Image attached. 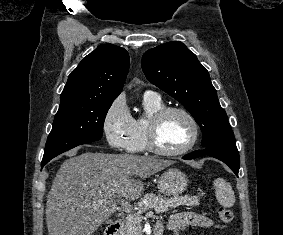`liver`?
<instances>
[{
  "label": "liver",
  "mask_w": 283,
  "mask_h": 235,
  "mask_svg": "<svg viewBox=\"0 0 283 235\" xmlns=\"http://www.w3.org/2000/svg\"><path fill=\"white\" fill-rule=\"evenodd\" d=\"M76 153L68 154L47 196L48 235H92L116 212L120 200L141 196V179L174 163L133 154Z\"/></svg>",
  "instance_id": "liver-1"
}]
</instances>
